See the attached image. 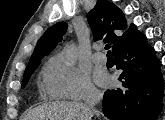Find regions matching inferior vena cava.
<instances>
[{
  "instance_id": "602c4592",
  "label": "inferior vena cava",
  "mask_w": 165,
  "mask_h": 120,
  "mask_svg": "<svg viewBox=\"0 0 165 120\" xmlns=\"http://www.w3.org/2000/svg\"><path fill=\"white\" fill-rule=\"evenodd\" d=\"M102 99V94L99 93V92H90L87 99H86V102H85V105H86V111H87V115L88 119L91 120V117L94 113V106Z\"/></svg>"
}]
</instances>
